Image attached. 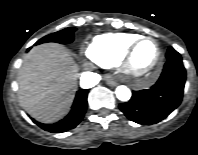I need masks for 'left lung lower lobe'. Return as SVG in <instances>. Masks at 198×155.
Wrapping results in <instances>:
<instances>
[{
	"label": "left lung lower lobe",
	"instance_id": "left-lung-lower-lobe-1",
	"mask_svg": "<svg viewBox=\"0 0 198 155\" xmlns=\"http://www.w3.org/2000/svg\"><path fill=\"white\" fill-rule=\"evenodd\" d=\"M185 79L186 71L182 60H169L151 89L133 92L131 99L121 103L119 108L133 122L156 124L180 105Z\"/></svg>",
	"mask_w": 198,
	"mask_h": 155
}]
</instances>
